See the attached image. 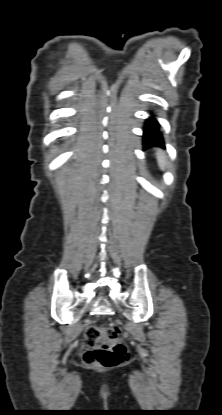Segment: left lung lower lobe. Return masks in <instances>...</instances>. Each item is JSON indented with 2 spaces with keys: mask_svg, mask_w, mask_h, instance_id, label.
Masks as SVG:
<instances>
[{
  "mask_svg": "<svg viewBox=\"0 0 222 415\" xmlns=\"http://www.w3.org/2000/svg\"><path fill=\"white\" fill-rule=\"evenodd\" d=\"M157 120L151 116L145 122L144 133H143V145L144 148H149L152 146L164 147V141L162 134L158 130Z\"/></svg>",
  "mask_w": 222,
  "mask_h": 415,
  "instance_id": "0a47b994",
  "label": "left lung lower lobe"
}]
</instances>
